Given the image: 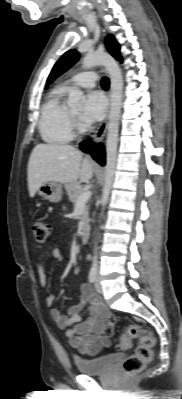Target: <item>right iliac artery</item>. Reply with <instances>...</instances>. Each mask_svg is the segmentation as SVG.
<instances>
[{
    "instance_id": "right-iliac-artery-1",
    "label": "right iliac artery",
    "mask_w": 182,
    "mask_h": 399,
    "mask_svg": "<svg viewBox=\"0 0 182 399\" xmlns=\"http://www.w3.org/2000/svg\"><path fill=\"white\" fill-rule=\"evenodd\" d=\"M96 277H97V270L95 268H92L90 270L89 276H88L89 282L90 283H95Z\"/></svg>"
}]
</instances>
